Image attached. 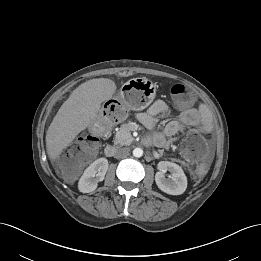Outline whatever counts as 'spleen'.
Listing matches in <instances>:
<instances>
[{
	"label": "spleen",
	"instance_id": "3e777b00",
	"mask_svg": "<svg viewBox=\"0 0 261 261\" xmlns=\"http://www.w3.org/2000/svg\"><path fill=\"white\" fill-rule=\"evenodd\" d=\"M205 172H206V170H205L204 168H201V170H200V175L205 174Z\"/></svg>",
	"mask_w": 261,
	"mask_h": 261
}]
</instances>
